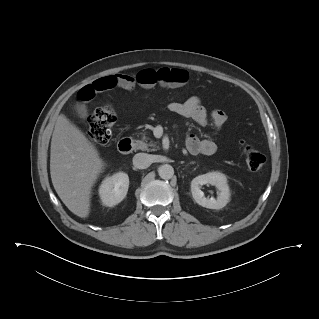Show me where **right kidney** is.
<instances>
[{
    "label": "right kidney",
    "instance_id": "1",
    "mask_svg": "<svg viewBox=\"0 0 319 319\" xmlns=\"http://www.w3.org/2000/svg\"><path fill=\"white\" fill-rule=\"evenodd\" d=\"M129 188V177L124 172H118L106 177L100 187L99 196L103 205L112 207L120 203L126 196Z\"/></svg>",
    "mask_w": 319,
    "mask_h": 319
}]
</instances>
